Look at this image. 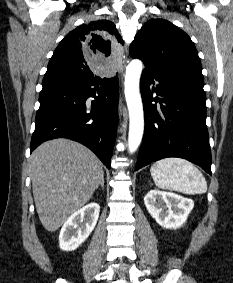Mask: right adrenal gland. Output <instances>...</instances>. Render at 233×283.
Returning <instances> with one entry per match:
<instances>
[{
    "label": "right adrenal gland",
    "instance_id": "obj_1",
    "mask_svg": "<svg viewBox=\"0 0 233 283\" xmlns=\"http://www.w3.org/2000/svg\"><path fill=\"white\" fill-rule=\"evenodd\" d=\"M100 185H101L102 189H104V176L103 175L101 177Z\"/></svg>",
    "mask_w": 233,
    "mask_h": 283
}]
</instances>
